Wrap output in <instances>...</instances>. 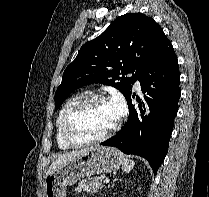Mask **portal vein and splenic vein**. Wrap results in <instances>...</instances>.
<instances>
[{
	"label": "portal vein and splenic vein",
	"mask_w": 209,
	"mask_h": 197,
	"mask_svg": "<svg viewBox=\"0 0 209 197\" xmlns=\"http://www.w3.org/2000/svg\"><path fill=\"white\" fill-rule=\"evenodd\" d=\"M109 181H110V180H109L108 178H105V179H104V183H109Z\"/></svg>",
	"instance_id": "18ae733b"
}]
</instances>
